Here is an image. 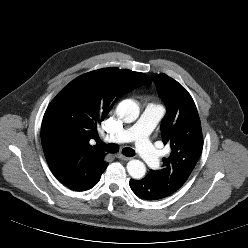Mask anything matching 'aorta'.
Here are the masks:
<instances>
[{
  "label": "aorta",
  "instance_id": "aorta-1",
  "mask_svg": "<svg viewBox=\"0 0 248 248\" xmlns=\"http://www.w3.org/2000/svg\"><path fill=\"white\" fill-rule=\"evenodd\" d=\"M139 112L138 104L131 99L121 101L116 108L117 116L126 123L135 121ZM127 171L132 178L141 179L146 173V167L140 160L133 159L127 163Z\"/></svg>",
  "mask_w": 248,
  "mask_h": 248
}]
</instances>
